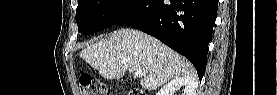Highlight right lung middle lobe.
Wrapping results in <instances>:
<instances>
[{
    "label": "right lung middle lobe",
    "instance_id": "right-lung-middle-lobe-1",
    "mask_svg": "<svg viewBox=\"0 0 277 95\" xmlns=\"http://www.w3.org/2000/svg\"><path fill=\"white\" fill-rule=\"evenodd\" d=\"M142 0H80L76 10L78 31L87 35L116 24Z\"/></svg>",
    "mask_w": 277,
    "mask_h": 95
}]
</instances>
